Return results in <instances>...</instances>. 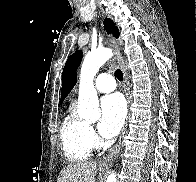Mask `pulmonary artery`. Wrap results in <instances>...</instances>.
<instances>
[{
	"label": "pulmonary artery",
	"instance_id": "obj_1",
	"mask_svg": "<svg viewBox=\"0 0 196 182\" xmlns=\"http://www.w3.org/2000/svg\"><path fill=\"white\" fill-rule=\"evenodd\" d=\"M95 89L102 93L112 92L116 88L115 80L111 75L101 74L95 80Z\"/></svg>",
	"mask_w": 196,
	"mask_h": 182
}]
</instances>
